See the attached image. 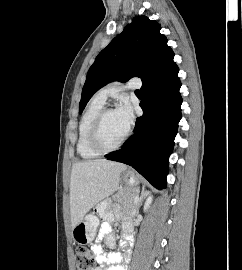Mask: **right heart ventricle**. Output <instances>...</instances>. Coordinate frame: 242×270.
I'll return each mask as SVG.
<instances>
[{
    "label": "right heart ventricle",
    "instance_id": "right-heart-ventricle-1",
    "mask_svg": "<svg viewBox=\"0 0 242 270\" xmlns=\"http://www.w3.org/2000/svg\"><path fill=\"white\" fill-rule=\"evenodd\" d=\"M104 104V102L94 98L81 117L78 129L77 152L83 159H92L100 155V153L90 147L88 136L92 123L99 112L104 108Z\"/></svg>",
    "mask_w": 242,
    "mask_h": 270
}]
</instances>
